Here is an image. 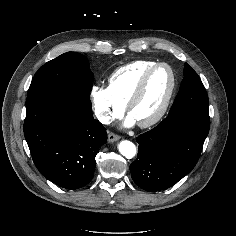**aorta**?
Here are the masks:
<instances>
[{"label":"aorta","mask_w":236,"mask_h":236,"mask_svg":"<svg viewBox=\"0 0 236 236\" xmlns=\"http://www.w3.org/2000/svg\"><path fill=\"white\" fill-rule=\"evenodd\" d=\"M118 149L119 152L128 159H131L136 155V146L131 141H121L119 143Z\"/></svg>","instance_id":"762f6f07"}]
</instances>
